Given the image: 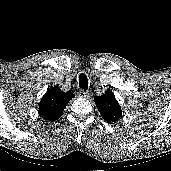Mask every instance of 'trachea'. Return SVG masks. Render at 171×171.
<instances>
[{
    "label": "trachea",
    "instance_id": "3493384b",
    "mask_svg": "<svg viewBox=\"0 0 171 171\" xmlns=\"http://www.w3.org/2000/svg\"><path fill=\"white\" fill-rule=\"evenodd\" d=\"M88 85H89V82H88V78L85 74H80L79 75V87L81 89H84V90H87L88 89Z\"/></svg>",
    "mask_w": 171,
    "mask_h": 171
}]
</instances>
